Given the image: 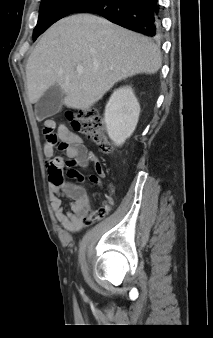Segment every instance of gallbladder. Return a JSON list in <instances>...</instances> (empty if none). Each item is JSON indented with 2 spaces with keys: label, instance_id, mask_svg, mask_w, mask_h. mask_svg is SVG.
I'll return each mask as SVG.
<instances>
[{
  "label": "gallbladder",
  "instance_id": "gallbladder-1",
  "mask_svg": "<svg viewBox=\"0 0 213 338\" xmlns=\"http://www.w3.org/2000/svg\"><path fill=\"white\" fill-rule=\"evenodd\" d=\"M64 100V92L58 84L52 85L45 91L35 104L37 119L43 120L55 115L61 108Z\"/></svg>",
  "mask_w": 213,
  "mask_h": 338
}]
</instances>
